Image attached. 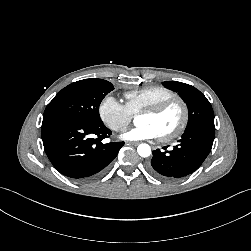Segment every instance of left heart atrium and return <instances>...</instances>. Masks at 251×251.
Wrapping results in <instances>:
<instances>
[{"label": "left heart atrium", "instance_id": "39dd6f15", "mask_svg": "<svg viewBox=\"0 0 251 251\" xmlns=\"http://www.w3.org/2000/svg\"><path fill=\"white\" fill-rule=\"evenodd\" d=\"M159 137L158 132L149 124H138L122 135V138L129 141L149 140Z\"/></svg>", "mask_w": 251, "mask_h": 251}]
</instances>
